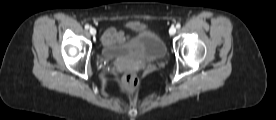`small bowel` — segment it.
I'll return each mask as SVG.
<instances>
[{"label":"small bowel","mask_w":276,"mask_h":120,"mask_svg":"<svg viewBox=\"0 0 276 120\" xmlns=\"http://www.w3.org/2000/svg\"><path fill=\"white\" fill-rule=\"evenodd\" d=\"M124 38V34L117 31L114 28L108 29L103 35V41L106 43H112L114 41H119Z\"/></svg>","instance_id":"obj_1"}]
</instances>
